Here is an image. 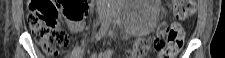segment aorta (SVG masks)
Wrapping results in <instances>:
<instances>
[{
    "instance_id": "1",
    "label": "aorta",
    "mask_w": 225,
    "mask_h": 58,
    "mask_svg": "<svg viewBox=\"0 0 225 58\" xmlns=\"http://www.w3.org/2000/svg\"><path fill=\"white\" fill-rule=\"evenodd\" d=\"M109 9H110L113 13H116L117 6L112 2V3H110V5H109Z\"/></svg>"
}]
</instances>
